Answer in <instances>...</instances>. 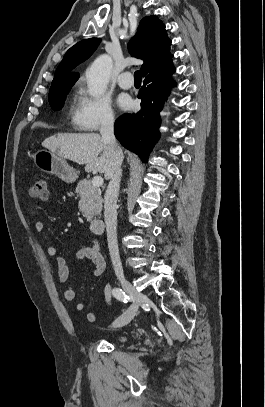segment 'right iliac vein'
Segmentation results:
<instances>
[{
	"instance_id": "1",
	"label": "right iliac vein",
	"mask_w": 265,
	"mask_h": 407,
	"mask_svg": "<svg viewBox=\"0 0 265 407\" xmlns=\"http://www.w3.org/2000/svg\"><path fill=\"white\" fill-rule=\"evenodd\" d=\"M120 283L123 289L131 296L134 304L126 313H124L113 323L114 327H122L127 325L137 314L139 305L144 299V295L139 292L127 279L121 278Z\"/></svg>"
}]
</instances>
